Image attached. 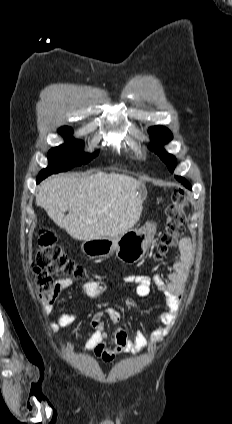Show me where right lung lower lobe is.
Returning a JSON list of instances; mask_svg holds the SVG:
<instances>
[{
    "label": "right lung lower lobe",
    "mask_w": 232,
    "mask_h": 424,
    "mask_svg": "<svg viewBox=\"0 0 232 424\" xmlns=\"http://www.w3.org/2000/svg\"><path fill=\"white\" fill-rule=\"evenodd\" d=\"M41 180H43V179L38 178V179H37V183H39Z\"/></svg>",
    "instance_id": "obj_1"
}]
</instances>
